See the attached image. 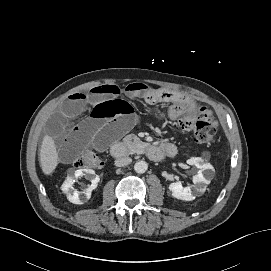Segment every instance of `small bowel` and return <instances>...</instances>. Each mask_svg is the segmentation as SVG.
<instances>
[{
  "mask_svg": "<svg viewBox=\"0 0 271 271\" xmlns=\"http://www.w3.org/2000/svg\"><path fill=\"white\" fill-rule=\"evenodd\" d=\"M122 93L129 99H143L149 104L168 103L164 116L171 121L179 120L193 106L192 100L181 92L155 89L139 82L127 85L123 91L116 85L105 84L87 92L73 93L48 121V134L57 144L62 163L72 162L91 143L104 149L110 141L133 127L134 108L121 98ZM85 111L89 112L88 117L72 125V121ZM161 147L169 157L176 154L172 143H164Z\"/></svg>",
  "mask_w": 271,
  "mask_h": 271,
  "instance_id": "c3829d8e",
  "label": "small bowel"
}]
</instances>
